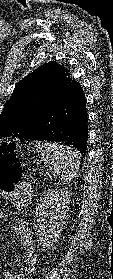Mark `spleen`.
Returning a JSON list of instances; mask_svg holds the SVG:
<instances>
[{"instance_id": "1", "label": "spleen", "mask_w": 113, "mask_h": 279, "mask_svg": "<svg viewBox=\"0 0 113 279\" xmlns=\"http://www.w3.org/2000/svg\"><path fill=\"white\" fill-rule=\"evenodd\" d=\"M35 147L47 170L59 176L62 185L70 183L80 168L79 152L63 144L41 141L36 142Z\"/></svg>"}]
</instances>
